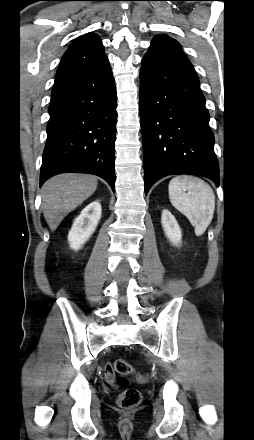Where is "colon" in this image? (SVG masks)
<instances>
[{"instance_id": "colon-1", "label": "colon", "mask_w": 254, "mask_h": 440, "mask_svg": "<svg viewBox=\"0 0 254 440\" xmlns=\"http://www.w3.org/2000/svg\"><path fill=\"white\" fill-rule=\"evenodd\" d=\"M113 371L118 375L117 385L119 387L127 386V377L133 372L131 364L125 359H116L113 363ZM141 399V394L138 390L128 388L119 396L118 404L122 409H133L140 405Z\"/></svg>"}]
</instances>
